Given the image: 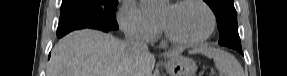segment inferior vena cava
Listing matches in <instances>:
<instances>
[{
	"label": "inferior vena cava",
	"mask_w": 287,
	"mask_h": 76,
	"mask_svg": "<svg viewBox=\"0 0 287 76\" xmlns=\"http://www.w3.org/2000/svg\"><path fill=\"white\" fill-rule=\"evenodd\" d=\"M125 47L128 55L139 56L148 53V46L136 28L125 30Z\"/></svg>",
	"instance_id": "602c4592"
}]
</instances>
